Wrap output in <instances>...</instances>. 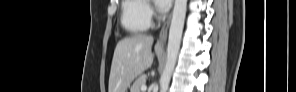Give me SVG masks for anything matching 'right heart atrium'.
<instances>
[{
    "instance_id": "d8ad5b80",
    "label": "right heart atrium",
    "mask_w": 296,
    "mask_h": 92,
    "mask_svg": "<svg viewBox=\"0 0 296 92\" xmlns=\"http://www.w3.org/2000/svg\"><path fill=\"white\" fill-rule=\"evenodd\" d=\"M144 13L146 18L150 21L154 16V11L150 4L145 3Z\"/></svg>"
}]
</instances>
